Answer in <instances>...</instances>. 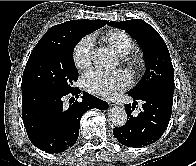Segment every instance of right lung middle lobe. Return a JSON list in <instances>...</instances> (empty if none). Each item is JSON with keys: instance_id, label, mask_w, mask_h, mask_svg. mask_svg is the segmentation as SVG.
<instances>
[{"instance_id": "dd1d6c3e", "label": "right lung middle lobe", "mask_w": 196, "mask_h": 166, "mask_svg": "<svg viewBox=\"0 0 196 166\" xmlns=\"http://www.w3.org/2000/svg\"><path fill=\"white\" fill-rule=\"evenodd\" d=\"M90 30L78 22H68L62 35L40 39L32 50L22 77V93L32 90H47L68 94L78 72L73 61V48Z\"/></svg>"}]
</instances>
